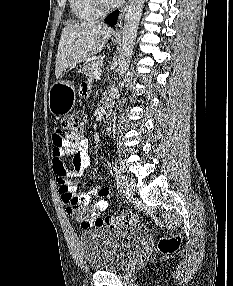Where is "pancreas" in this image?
I'll list each match as a JSON object with an SVG mask.
<instances>
[{"label": "pancreas", "instance_id": "1", "mask_svg": "<svg viewBox=\"0 0 233 286\" xmlns=\"http://www.w3.org/2000/svg\"><path fill=\"white\" fill-rule=\"evenodd\" d=\"M100 65H101V61H93L85 65L82 68L81 72L90 79H96L98 76V73L101 72L99 68Z\"/></svg>", "mask_w": 233, "mask_h": 286}]
</instances>
